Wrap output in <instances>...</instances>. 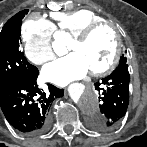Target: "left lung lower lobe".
Here are the masks:
<instances>
[{
    "instance_id": "1",
    "label": "left lung lower lobe",
    "mask_w": 147,
    "mask_h": 147,
    "mask_svg": "<svg viewBox=\"0 0 147 147\" xmlns=\"http://www.w3.org/2000/svg\"><path fill=\"white\" fill-rule=\"evenodd\" d=\"M130 74L128 65H119L109 76L95 83V88L101 91L99 96L100 113L90 116L89 127L96 130H110L117 126L124 117L129 104Z\"/></svg>"
}]
</instances>
